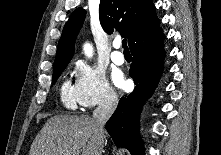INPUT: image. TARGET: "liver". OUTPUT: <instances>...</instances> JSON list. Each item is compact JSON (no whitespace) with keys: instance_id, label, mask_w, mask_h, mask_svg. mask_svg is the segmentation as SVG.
<instances>
[{"instance_id":"1","label":"liver","mask_w":221,"mask_h":155,"mask_svg":"<svg viewBox=\"0 0 221 155\" xmlns=\"http://www.w3.org/2000/svg\"><path fill=\"white\" fill-rule=\"evenodd\" d=\"M98 155L97 127L89 116L51 117L34 139L29 155Z\"/></svg>"}]
</instances>
